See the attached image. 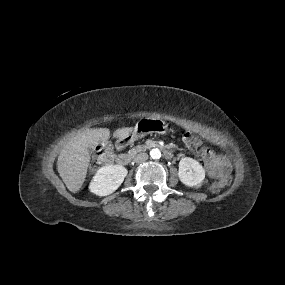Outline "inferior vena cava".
<instances>
[{
    "mask_svg": "<svg viewBox=\"0 0 285 285\" xmlns=\"http://www.w3.org/2000/svg\"><path fill=\"white\" fill-rule=\"evenodd\" d=\"M148 159V154L145 152L139 153L135 156L134 161L136 163H141L143 161H146Z\"/></svg>",
    "mask_w": 285,
    "mask_h": 285,
    "instance_id": "602c4592",
    "label": "inferior vena cava"
}]
</instances>
